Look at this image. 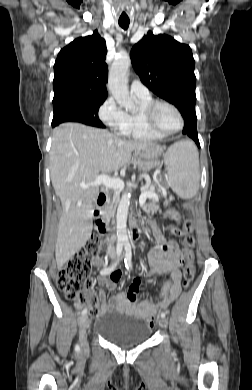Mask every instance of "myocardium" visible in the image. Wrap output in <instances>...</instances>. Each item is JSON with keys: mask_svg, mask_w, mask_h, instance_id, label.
Returning a JSON list of instances; mask_svg holds the SVG:
<instances>
[{"mask_svg": "<svg viewBox=\"0 0 252 390\" xmlns=\"http://www.w3.org/2000/svg\"><path fill=\"white\" fill-rule=\"evenodd\" d=\"M162 105L170 107L177 114L178 119H179V125L176 129L171 130V131H166V130H163L160 127H158L156 120H155V115H156L158 108ZM142 118H143L145 126L151 132L158 134V135H162V136L173 135V134L179 132L184 126V118H183L181 111L173 103L165 101V100L153 101L149 106H147L144 109V111L142 113Z\"/></svg>", "mask_w": 252, "mask_h": 390, "instance_id": "f54148a6", "label": "myocardium"}]
</instances>
